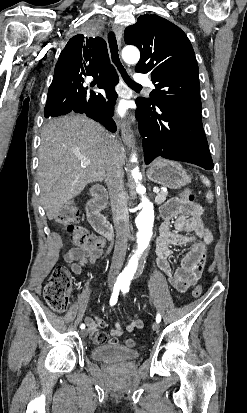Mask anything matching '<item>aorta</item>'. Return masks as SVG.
I'll return each instance as SVG.
<instances>
[{
    "mask_svg": "<svg viewBox=\"0 0 247 413\" xmlns=\"http://www.w3.org/2000/svg\"><path fill=\"white\" fill-rule=\"evenodd\" d=\"M122 58L128 64H136L140 59V52L134 46H126L122 50ZM131 162H137L135 155L132 156ZM132 177L136 183V191L141 195L140 206L142 210L136 218V225L139 229L138 233V249L136 253L131 257L125 275L128 276L134 273L138 266L139 255L147 247L150 238L152 236V228L154 223V207L153 203L145 196L146 189L139 182L142 178V175L139 171V168L136 167L131 171Z\"/></svg>",
    "mask_w": 247,
    "mask_h": 413,
    "instance_id": "aorta-1",
    "label": "aorta"
}]
</instances>
